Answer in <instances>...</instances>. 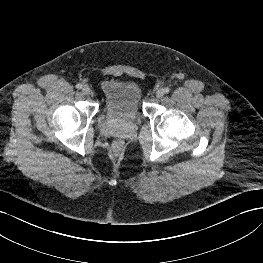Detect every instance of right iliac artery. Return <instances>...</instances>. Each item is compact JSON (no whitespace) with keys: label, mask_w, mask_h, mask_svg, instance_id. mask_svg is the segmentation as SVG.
I'll return each instance as SVG.
<instances>
[{"label":"right iliac artery","mask_w":263,"mask_h":263,"mask_svg":"<svg viewBox=\"0 0 263 263\" xmlns=\"http://www.w3.org/2000/svg\"><path fill=\"white\" fill-rule=\"evenodd\" d=\"M76 88H77V89H82V84L78 83V84L76 85Z\"/></svg>","instance_id":"obj_1"}]
</instances>
